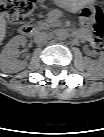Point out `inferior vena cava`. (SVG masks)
Instances as JSON below:
<instances>
[{
	"label": "inferior vena cava",
	"mask_w": 104,
	"mask_h": 137,
	"mask_svg": "<svg viewBox=\"0 0 104 137\" xmlns=\"http://www.w3.org/2000/svg\"><path fill=\"white\" fill-rule=\"evenodd\" d=\"M48 39V34L46 32H36L34 35V41L36 43H42Z\"/></svg>",
	"instance_id": "1"
}]
</instances>
